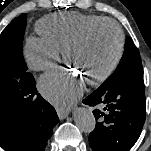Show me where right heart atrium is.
Instances as JSON below:
<instances>
[{
    "mask_svg": "<svg viewBox=\"0 0 151 151\" xmlns=\"http://www.w3.org/2000/svg\"><path fill=\"white\" fill-rule=\"evenodd\" d=\"M24 55L31 69L45 71L56 64L60 52L41 37H29L25 44Z\"/></svg>",
    "mask_w": 151,
    "mask_h": 151,
    "instance_id": "d8ad5b80",
    "label": "right heart atrium"
}]
</instances>
